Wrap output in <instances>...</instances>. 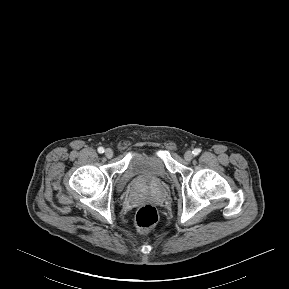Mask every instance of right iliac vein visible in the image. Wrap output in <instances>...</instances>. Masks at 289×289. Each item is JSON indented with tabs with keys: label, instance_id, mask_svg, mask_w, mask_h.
<instances>
[{
	"label": "right iliac vein",
	"instance_id": "right-iliac-vein-1",
	"mask_svg": "<svg viewBox=\"0 0 289 289\" xmlns=\"http://www.w3.org/2000/svg\"><path fill=\"white\" fill-rule=\"evenodd\" d=\"M105 156L109 159L112 158L113 157V151L110 148H107L105 150Z\"/></svg>",
	"mask_w": 289,
	"mask_h": 289
}]
</instances>
